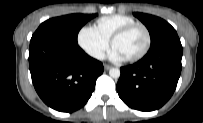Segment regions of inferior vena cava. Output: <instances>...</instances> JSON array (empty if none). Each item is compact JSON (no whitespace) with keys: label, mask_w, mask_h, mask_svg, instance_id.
I'll return each mask as SVG.
<instances>
[{"label":"inferior vena cava","mask_w":203,"mask_h":123,"mask_svg":"<svg viewBox=\"0 0 203 123\" xmlns=\"http://www.w3.org/2000/svg\"><path fill=\"white\" fill-rule=\"evenodd\" d=\"M93 57L99 60H104L105 59V54L101 51H96L93 53Z\"/></svg>","instance_id":"inferior-vena-cava-1"}]
</instances>
